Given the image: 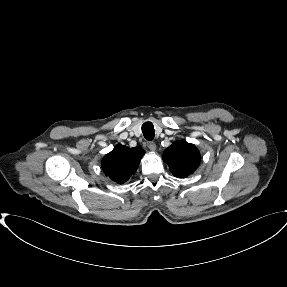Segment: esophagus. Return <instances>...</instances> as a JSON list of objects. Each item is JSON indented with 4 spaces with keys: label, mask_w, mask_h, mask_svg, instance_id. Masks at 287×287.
Returning a JSON list of instances; mask_svg holds the SVG:
<instances>
[{
    "label": "esophagus",
    "mask_w": 287,
    "mask_h": 287,
    "mask_svg": "<svg viewBox=\"0 0 287 287\" xmlns=\"http://www.w3.org/2000/svg\"><path fill=\"white\" fill-rule=\"evenodd\" d=\"M147 147L151 150V151H155L156 150V144L152 141L147 142Z\"/></svg>",
    "instance_id": "esophagus-1"
}]
</instances>
